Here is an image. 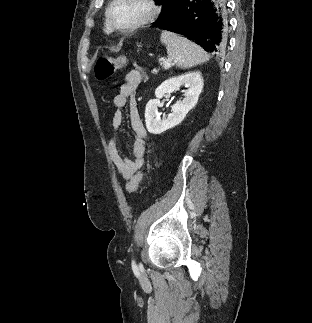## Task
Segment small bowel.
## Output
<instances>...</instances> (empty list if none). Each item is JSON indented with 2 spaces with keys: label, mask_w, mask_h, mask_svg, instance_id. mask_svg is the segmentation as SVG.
Listing matches in <instances>:
<instances>
[{
  "label": "small bowel",
  "mask_w": 312,
  "mask_h": 323,
  "mask_svg": "<svg viewBox=\"0 0 312 323\" xmlns=\"http://www.w3.org/2000/svg\"><path fill=\"white\" fill-rule=\"evenodd\" d=\"M142 80L143 74L137 69H133L126 74L124 84L120 87L119 92L114 97L115 111L112 115L111 126L107 138L108 154L120 176L127 181L145 164L147 133L134 100V95ZM128 99H131L130 122L135 136L132 147V159L121 154L118 139L119 131L123 125L122 109L126 106Z\"/></svg>",
  "instance_id": "obj_1"
}]
</instances>
